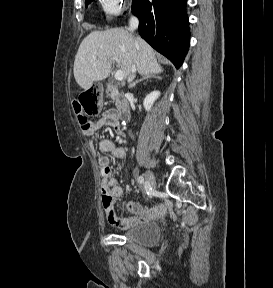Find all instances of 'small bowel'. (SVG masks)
I'll use <instances>...</instances> for the list:
<instances>
[{"instance_id":"small-bowel-1","label":"small bowel","mask_w":273,"mask_h":288,"mask_svg":"<svg viewBox=\"0 0 273 288\" xmlns=\"http://www.w3.org/2000/svg\"><path fill=\"white\" fill-rule=\"evenodd\" d=\"M103 127H110L122 136L120 122L114 110H107L103 112L98 118L90 122L89 127L84 129L85 135L91 139L93 135ZM99 151L102 154H111L118 159H124L126 151L122 147H117L110 139H103L99 143ZM100 174H101V195L102 204L108 222L118 228L127 229L136 226L140 223L155 220L165 213L164 205H157L148 207L136 201H131L127 204V210L133 214L129 217H122L117 214L114 209L115 200L122 196L123 189L118 181L113 178L110 159L107 156L99 158Z\"/></svg>"}]
</instances>
